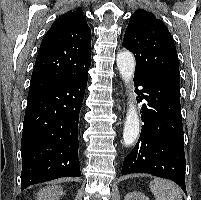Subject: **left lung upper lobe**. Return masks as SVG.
<instances>
[{"label": "left lung upper lobe", "mask_w": 201, "mask_h": 200, "mask_svg": "<svg viewBox=\"0 0 201 200\" xmlns=\"http://www.w3.org/2000/svg\"><path fill=\"white\" fill-rule=\"evenodd\" d=\"M123 46L136 59L135 75L180 78L175 43L166 25L154 14L136 10L130 17Z\"/></svg>", "instance_id": "1"}]
</instances>
